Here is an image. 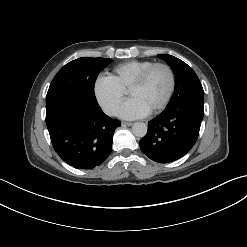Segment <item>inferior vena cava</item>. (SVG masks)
Segmentation results:
<instances>
[{"mask_svg": "<svg viewBox=\"0 0 247 247\" xmlns=\"http://www.w3.org/2000/svg\"><path fill=\"white\" fill-rule=\"evenodd\" d=\"M106 113L109 115H113L115 113V110L110 108L106 110Z\"/></svg>", "mask_w": 247, "mask_h": 247, "instance_id": "602c4592", "label": "inferior vena cava"}]
</instances>
